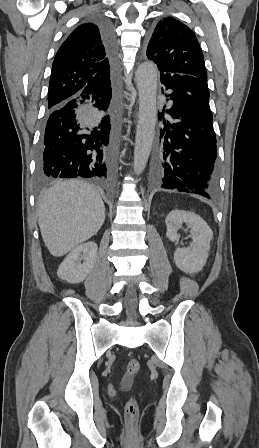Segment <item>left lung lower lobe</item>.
Masks as SVG:
<instances>
[{
  "label": "left lung lower lobe",
  "instance_id": "left-lung-lower-lobe-1",
  "mask_svg": "<svg viewBox=\"0 0 259 448\" xmlns=\"http://www.w3.org/2000/svg\"><path fill=\"white\" fill-rule=\"evenodd\" d=\"M160 75L162 90H168L166 100L172 102L165 112L174 121L159 115L164 121L160 138L165 141L153 164L152 183L210 198L217 190L219 168L207 82L186 74Z\"/></svg>",
  "mask_w": 259,
  "mask_h": 448
}]
</instances>
